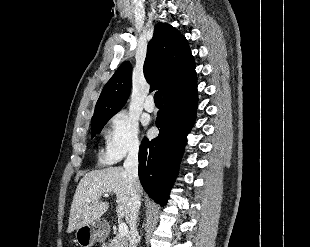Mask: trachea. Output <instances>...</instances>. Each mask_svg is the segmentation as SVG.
<instances>
[{"instance_id": "trachea-1", "label": "trachea", "mask_w": 310, "mask_h": 247, "mask_svg": "<svg viewBox=\"0 0 310 247\" xmlns=\"http://www.w3.org/2000/svg\"><path fill=\"white\" fill-rule=\"evenodd\" d=\"M161 99H162V92L159 90L154 95L155 104H161Z\"/></svg>"}]
</instances>
